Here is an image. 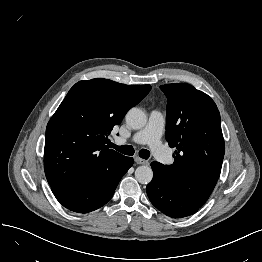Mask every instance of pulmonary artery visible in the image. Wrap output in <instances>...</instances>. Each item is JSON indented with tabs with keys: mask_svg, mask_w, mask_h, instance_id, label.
Here are the masks:
<instances>
[{
	"mask_svg": "<svg viewBox=\"0 0 262 262\" xmlns=\"http://www.w3.org/2000/svg\"><path fill=\"white\" fill-rule=\"evenodd\" d=\"M165 126V117L158 111L153 110L149 115L146 126L136 132L131 138H118L117 142L122 144L126 141H131L139 145H148L155 157L162 163H171V155L167 152L161 138Z\"/></svg>",
	"mask_w": 262,
	"mask_h": 262,
	"instance_id": "e3ab8cb5",
	"label": "pulmonary artery"
}]
</instances>
